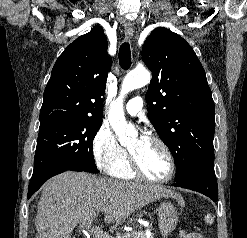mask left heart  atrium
I'll return each mask as SVG.
<instances>
[{"label":"left heart atrium","mask_w":247,"mask_h":238,"mask_svg":"<svg viewBox=\"0 0 247 238\" xmlns=\"http://www.w3.org/2000/svg\"><path fill=\"white\" fill-rule=\"evenodd\" d=\"M140 140H141V141H144V140H145V138H144V137H141V138H140Z\"/></svg>","instance_id":"obj_1"}]
</instances>
